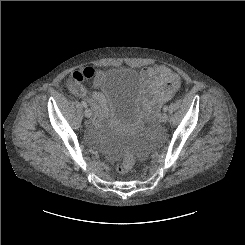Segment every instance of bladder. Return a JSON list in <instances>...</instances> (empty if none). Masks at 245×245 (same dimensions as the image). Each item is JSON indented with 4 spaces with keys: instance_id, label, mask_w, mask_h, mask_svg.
Returning <instances> with one entry per match:
<instances>
[{
    "instance_id": "31cf9c89",
    "label": "bladder",
    "mask_w": 245,
    "mask_h": 245,
    "mask_svg": "<svg viewBox=\"0 0 245 245\" xmlns=\"http://www.w3.org/2000/svg\"><path fill=\"white\" fill-rule=\"evenodd\" d=\"M104 90L110 107L105 125L109 134H119L131 126H143L145 107L134 68L112 67L106 76Z\"/></svg>"
}]
</instances>
